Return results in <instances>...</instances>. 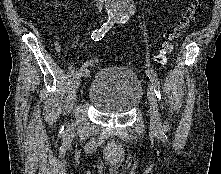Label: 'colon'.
<instances>
[{
    "label": "colon",
    "mask_w": 221,
    "mask_h": 174,
    "mask_svg": "<svg viewBox=\"0 0 221 174\" xmlns=\"http://www.w3.org/2000/svg\"><path fill=\"white\" fill-rule=\"evenodd\" d=\"M200 6V0H193L190 4L188 13L180 21L176 22L165 31L168 41L163 44L159 54L154 57V64L157 67L166 64L168 55L174 50L173 42L191 25L192 22H194L196 11ZM85 64L89 67H93L97 64V59L89 58L85 61Z\"/></svg>",
    "instance_id": "5ec220e1"
}]
</instances>
